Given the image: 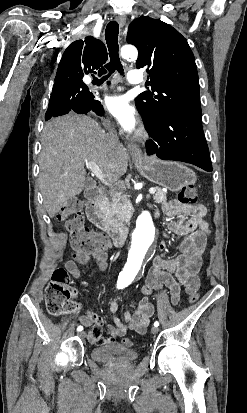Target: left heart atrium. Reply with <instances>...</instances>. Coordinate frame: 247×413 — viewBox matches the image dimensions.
<instances>
[{
  "instance_id": "1",
  "label": "left heart atrium",
  "mask_w": 247,
  "mask_h": 413,
  "mask_svg": "<svg viewBox=\"0 0 247 413\" xmlns=\"http://www.w3.org/2000/svg\"><path fill=\"white\" fill-rule=\"evenodd\" d=\"M105 109L117 120L121 128L126 132L135 130L138 122V114L129 104L127 97L123 95H107L103 98Z\"/></svg>"
}]
</instances>
